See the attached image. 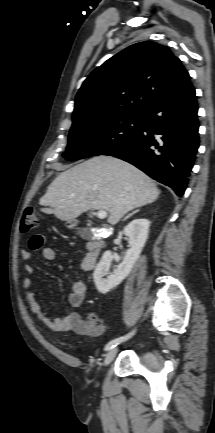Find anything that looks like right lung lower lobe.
Returning a JSON list of instances; mask_svg holds the SVG:
<instances>
[{
	"label": "right lung lower lobe",
	"mask_w": 215,
	"mask_h": 433,
	"mask_svg": "<svg viewBox=\"0 0 215 433\" xmlns=\"http://www.w3.org/2000/svg\"><path fill=\"white\" fill-rule=\"evenodd\" d=\"M198 105L191 82L154 103L135 139L108 151L182 196L199 147Z\"/></svg>",
	"instance_id": "right-lung-lower-lobe-1"
}]
</instances>
